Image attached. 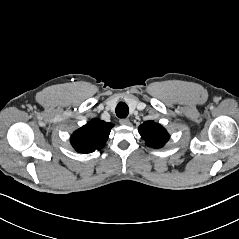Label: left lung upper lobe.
Segmentation results:
<instances>
[{
  "mask_svg": "<svg viewBox=\"0 0 239 239\" xmlns=\"http://www.w3.org/2000/svg\"><path fill=\"white\" fill-rule=\"evenodd\" d=\"M146 145L152 148L163 147L169 139V134L164 127L153 121H146L138 129Z\"/></svg>",
  "mask_w": 239,
  "mask_h": 239,
  "instance_id": "1",
  "label": "left lung upper lobe"
}]
</instances>
